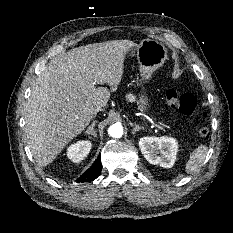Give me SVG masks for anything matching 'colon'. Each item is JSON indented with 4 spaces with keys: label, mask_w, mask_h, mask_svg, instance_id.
<instances>
[{
    "label": "colon",
    "mask_w": 233,
    "mask_h": 233,
    "mask_svg": "<svg viewBox=\"0 0 233 233\" xmlns=\"http://www.w3.org/2000/svg\"><path fill=\"white\" fill-rule=\"evenodd\" d=\"M167 104L173 108H177L182 114L190 117H196L205 120L207 114L199 110L196 97L191 93L180 94L175 89H169L165 93ZM197 132L201 137H208L210 134L209 127L205 124L197 128Z\"/></svg>",
    "instance_id": "1"
}]
</instances>
